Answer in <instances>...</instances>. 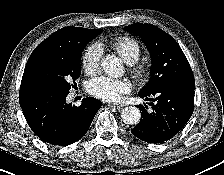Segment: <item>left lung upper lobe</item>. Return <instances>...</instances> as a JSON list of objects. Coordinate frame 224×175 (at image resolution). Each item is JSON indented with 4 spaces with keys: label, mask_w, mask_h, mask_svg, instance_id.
<instances>
[{
    "label": "left lung upper lobe",
    "mask_w": 224,
    "mask_h": 175,
    "mask_svg": "<svg viewBox=\"0 0 224 175\" xmlns=\"http://www.w3.org/2000/svg\"><path fill=\"white\" fill-rule=\"evenodd\" d=\"M125 29L141 37L152 60L151 78L140 94H149L167 83H195L191 67L172 36L152 24L134 23Z\"/></svg>",
    "instance_id": "obj_1"
}]
</instances>
